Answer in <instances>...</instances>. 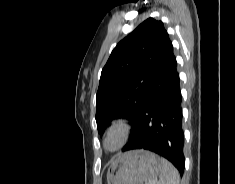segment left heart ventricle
Returning <instances> with one entry per match:
<instances>
[{
	"mask_svg": "<svg viewBox=\"0 0 235 184\" xmlns=\"http://www.w3.org/2000/svg\"><path fill=\"white\" fill-rule=\"evenodd\" d=\"M117 139L115 135H110L105 142L106 148L113 149L116 146Z\"/></svg>",
	"mask_w": 235,
	"mask_h": 184,
	"instance_id": "left-heart-ventricle-1",
	"label": "left heart ventricle"
}]
</instances>
